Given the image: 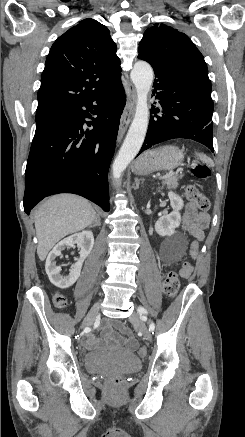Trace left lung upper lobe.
<instances>
[{"mask_svg":"<svg viewBox=\"0 0 245 437\" xmlns=\"http://www.w3.org/2000/svg\"><path fill=\"white\" fill-rule=\"evenodd\" d=\"M138 57L164 72L211 91L203 55L186 34L172 27L155 23L148 28L139 43Z\"/></svg>","mask_w":245,"mask_h":437,"instance_id":"5c2ea615","label":"left lung upper lobe"}]
</instances>
